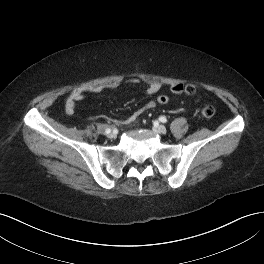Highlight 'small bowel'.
Instances as JSON below:
<instances>
[{"instance_id":"c3829d8e","label":"small bowel","mask_w":264,"mask_h":264,"mask_svg":"<svg viewBox=\"0 0 264 264\" xmlns=\"http://www.w3.org/2000/svg\"><path fill=\"white\" fill-rule=\"evenodd\" d=\"M138 82H139L138 79L129 80V83L131 84H136ZM119 85L120 83L118 81H112V82H109L103 85H98V86H81V87L74 88L66 100L65 113L68 116L73 115L77 103L83 100L85 93H88V92L99 93L105 89L117 88ZM184 86H185L184 84H174L171 86V92L174 94H181L184 92ZM161 88H162L161 83L154 81V82H150L147 84L145 91L147 94L153 95V94L158 93L161 90ZM155 105L156 103L154 101L148 102L142 108L137 110L130 120L135 119L136 117H138L140 114H142L146 110L152 109L153 107H155Z\"/></svg>"}]
</instances>
